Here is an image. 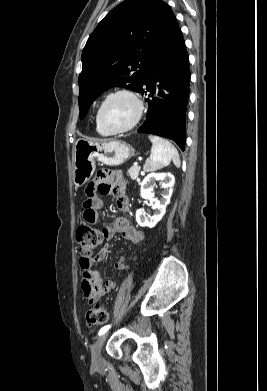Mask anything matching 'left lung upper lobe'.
Segmentation results:
<instances>
[{"label":"left lung upper lobe","mask_w":267,"mask_h":391,"mask_svg":"<svg viewBox=\"0 0 267 391\" xmlns=\"http://www.w3.org/2000/svg\"><path fill=\"white\" fill-rule=\"evenodd\" d=\"M178 28L172 10L162 0H126L109 12L82 53L81 118L110 87L138 92L152 57Z\"/></svg>","instance_id":"5c2ea615"}]
</instances>
